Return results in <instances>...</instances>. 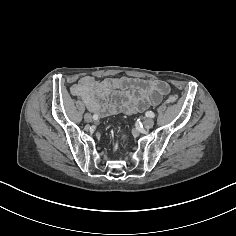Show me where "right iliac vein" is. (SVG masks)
Masks as SVG:
<instances>
[{"label": "right iliac vein", "instance_id": "right-iliac-vein-1", "mask_svg": "<svg viewBox=\"0 0 236 236\" xmlns=\"http://www.w3.org/2000/svg\"><path fill=\"white\" fill-rule=\"evenodd\" d=\"M92 115L90 114V113H86L85 115H84V120L86 121V122H91L92 121Z\"/></svg>", "mask_w": 236, "mask_h": 236}]
</instances>
